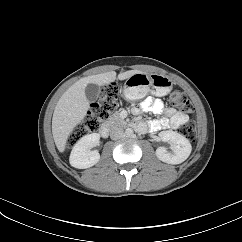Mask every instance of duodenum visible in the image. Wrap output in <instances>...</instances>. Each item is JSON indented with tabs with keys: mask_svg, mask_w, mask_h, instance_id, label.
I'll return each mask as SVG.
<instances>
[{
	"mask_svg": "<svg viewBox=\"0 0 242 242\" xmlns=\"http://www.w3.org/2000/svg\"><path fill=\"white\" fill-rule=\"evenodd\" d=\"M132 127H135L134 123L132 124ZM100 134L103 137H107L109 135V127L108 125H104L101 130H100Z\"/></svg>",
	"mask_w": 242,
	"mask_h": 242,
	"instance_id": "1",
	"label": "duodenum"
}]
</instances>
